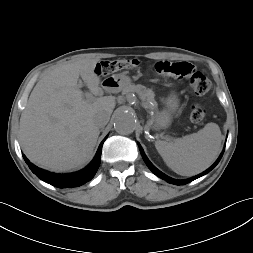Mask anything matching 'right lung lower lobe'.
<instances>
[{
	"label": "right lung lower lobe",
	"mask_w": 253,
	"mask_h": 253,
	"mask_svg": "<svg viewBox=\"0 0 253 253\" xmlns=\"http://www.w3.org/2000/svg\"><path fill=\"white\" fill-rule=\"evenodd\" d=\"M107 138V137H106ZM106 138L101 142L97 153L92 160V162L84 169L71 173V174H55L48 172L46 170L40 169L37 166L33 165L25 155H23V158L31 171L36 174L41 180L45 181L46 183H49L55 187L58 188H72V187H78L87 181L91 180L94 175L96 174L100 162H101V151L102 146Z\"/></svg>",
	"instance_id": "right-lung-lower-lobe-1"
}]
</instances>
